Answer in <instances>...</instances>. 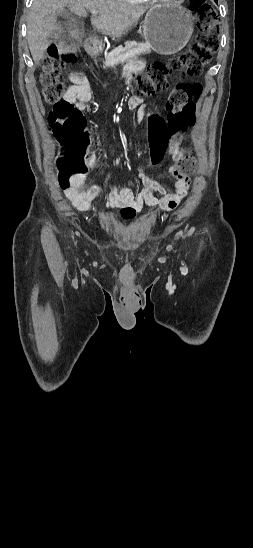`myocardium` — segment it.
Instances as JSON below:
<instances>
[{
  "mask_svg": "<svg viewBox=\"0 0 253 548\" xmlns=\"http://www.w3.org/2000/svg\"><path fill=\"white\" fill-rule=\"evenodd\" d=\"M150 1H157V2H172L173 0H150Z\"/></svg>",
  "mask_w": 253,
  "mask_h": 548,
  "instance_id": "myocardium-1",
  "label": "myocardium"
}]
</instances>
